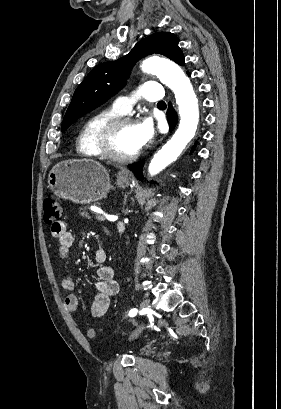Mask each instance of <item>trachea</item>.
I'll use <instances>...</instances> for the list:
<instances>
[{
  "label": "trachea",
  "mask_w": 281,
  "mask_h": 409,
  "mask_svg": "<svg viewBox=\"0 0 281 409\" xmlns=\"http://www.w3.org/2000/svg\"><path fill=\"white\" fill-rule=\"evenodd\" d=\"M158 104H160V105H166V103L164 102V100H160V101L158 102Z\"/></svg>",
  "instance_id": "obj_1"
}]
</instances>
